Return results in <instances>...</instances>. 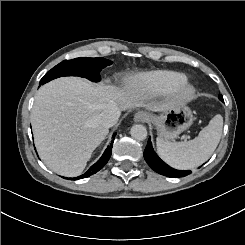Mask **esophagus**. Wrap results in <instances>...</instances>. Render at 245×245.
Here are the masks:
<instances>
[{"label": "esophagus", "instance_id": "esophagus-1", "mask_svg": "<svg viewBox=\"0 0 245 245\" xmlns=\"http://www.w3.org/2000/svg\"><path fill=\"white\" fill-rule=\"evenodd\" d=\"M150 120V114L146 111H139L134 115L135 122L146 123Z\"/></svg>", "mask_w": 245, "mask_h": 245}]
</instances>
